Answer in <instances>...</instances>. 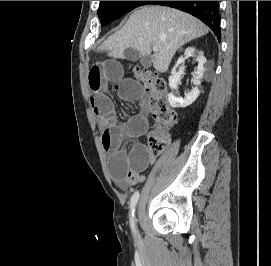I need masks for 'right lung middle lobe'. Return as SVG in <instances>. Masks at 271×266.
<instances>
[{
	"label": "right lung middle lobe",
	"mask_w": 271,
	"mask_h": 266,
	"mask_svg": "<svg viewBox=\"0 0 271 266\" xmlns=\"http://www.w3.org/2000/svg\"><path fill=\"white\" fill-rule=\"evenodd\" d=\"M152 1H101L98 8V16L101 26H105L116 19L121 18L133 9L151 4Z\"/></svg>",
	"instance_id": "obj_1"
}]
</instances>
